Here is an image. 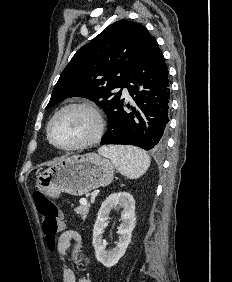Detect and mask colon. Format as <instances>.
Listing matches in <instances>:
<instances>
[{
	"label": "colon",
	"mask_w": 232,
	"mask_h": 282,
	"mask_svg": "<svg viewBox=\"0 0 232 282\" xmlns=\"http://www.w3.org/2000/svg\"><path fill=\"white\" fill-rule=\"evenodd\" d=\"M34 203L42 219L43 233L49 249H54L62 222L57 206L41 192L33 195Z\"/></svg>",
	"instance_id": "5ec220e1"
}]
</instances>
